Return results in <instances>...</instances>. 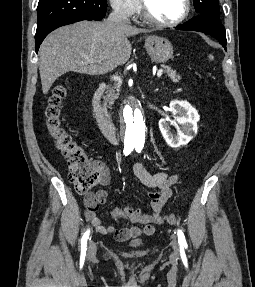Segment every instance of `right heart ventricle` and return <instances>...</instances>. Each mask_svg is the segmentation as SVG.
<instances>
[{
    "label": "right heart ventricle",
    "instance_id": "1",
    "mask_svg": "<svg viewBox=\"0 0 255 287\" xmlns=\"http://www.w3.org/2000/svg\"><path fill=\"white\" fill-rule=\"evenodd\" d=\"M128 33H145V32H128ZM137 39H145V38H137ZM163 48H169V47H163Z\"/></svg>",
    "mask_w": 255,
    "mask_h": 287
}]
</instances>
